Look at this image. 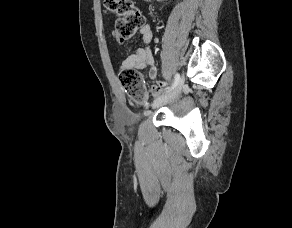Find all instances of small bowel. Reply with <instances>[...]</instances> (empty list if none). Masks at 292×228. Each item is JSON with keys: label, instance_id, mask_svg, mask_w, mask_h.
Wrapping results in <instances>:
<instances>
[{"label": "small bowel", "instance_id": "1", "mask_svg": "<svg viewBox=\"0 0 292 228\" xmlns=\"http://www.w3.org/2000/svg\"><path fill=\"white\" fill-rule=\"evenodd\" d=\"M139 32L144 43L143 47L137 48L133 53L128 55V57L121 63L120 70L126 68H134L137 70L148 69L149 77L153 80L158 78V69L156 67L155 59L150 48V44L153 40V31L149 24H144L139 29ZM165 87V83H157L152 86L151 93L153 95H158L162 89Z\"/></svg>", "mask_w": 292, "mask_h": 228}]
</instances>
